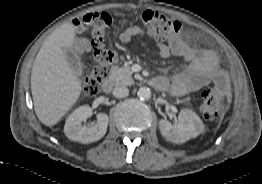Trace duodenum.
<instances>
[{
    "mask_svg": "<svg viewBox=\"0 0 262 184\" xmlns=\"http://www.w3.org/2000/svg\"><path fill=\"white\" fill-rule=\"evenodd\" d=\"M151 84L157 88H158V81L157 80H151ZM102 90L105 92V93H110L112 88H113V81L112 79H106L103 83H102Z\"/></svg>",
    "mask_w": 262,
    "mask_h": 184,
    "instance_id": "410a0bca",
    "label": "duodenum"
}]
</instances>
